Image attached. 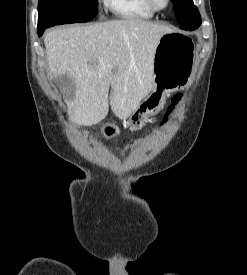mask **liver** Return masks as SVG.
<instances>
[{
	"mask_svg": "<svg viewBox=\"0 0 247 275\" xmlns=\"http://www.w3.org/2000/svg\"><path fill=\"white\" fill-rule=\"evenodd\" d=\"M172 30L137 18L54 29L44 38L51 78L68 75L61 90L71 120L102 121L111 110L125 120L153 89V59L160 38ZM111 93L109 98V89Z\"/></svg>",
	"mask_w": 247,
	"mask_h": 275,
	"instance_id": "obj_1",
	"label": "liver"
}]
</instances>
